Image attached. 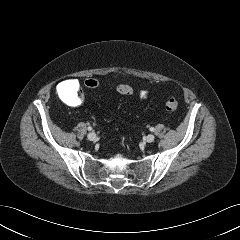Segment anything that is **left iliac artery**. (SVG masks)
Listing matches in <instances>:
<instances>
[{
    "mask_svg": "<svg viewBox=\"0 0 240 240\" xmlns=\"http://www.w3.org/2000/svg\"><path fill=\"white\" fill-rule=\"evenodd\" d=\"M154 130H155V129H154L153 127H151V128H150V131H152V132H153Z\"/></svg>",
    "mask_w": 240,
    "mask_h": 240,
    "instance_id": "left-iliac-artery-1",
    "label": "left iliac artery"
}]
</instances>
